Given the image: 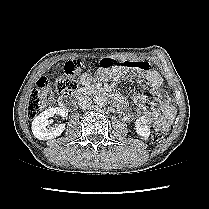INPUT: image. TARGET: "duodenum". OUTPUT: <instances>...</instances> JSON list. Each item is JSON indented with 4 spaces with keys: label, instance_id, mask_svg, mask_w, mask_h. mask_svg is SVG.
Returning a JSON list of instances; mask_svg holds the SVG:
<instances>
[{
    "label": "duodenum",
    "instance_id": "obj_1",
    "mask_svg": "<svg viewBox=\"0 0 209 209\" xmlns=\"http://www.w3.org/2000/svg\"><path fill=\"white\" fill-rule=\"evenodd\" d=\"M97 95L102 96H109L111 97L116 103H120L122 101L121 96L118 93L106 90V89H96L93 91ZM88 93L87 89H80L76 91L72 95H64L60 99V105L66 108H72L76 105L79 100Z\"/></svg>",
    "mask_w": 209,
    "mask_h": 209
}]
</instances>
